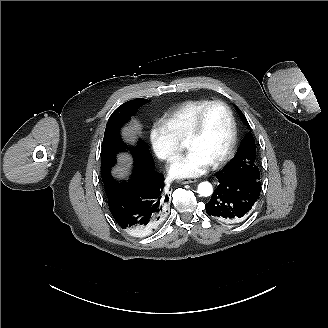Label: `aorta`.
<instances>
[{
  "mask_svg": "<svg viewBox=\"0 0 328 328\" xmlns=\"http://www.w3.org/2000/svg\"><path fill=\"white\" fill-rule=\"evenodd\" d=\"M198 193L204 197L210 196L213 193V187H212L211 183H209L207 181L201 182L198 185Z\"/></svg>",
  "mask_w": 328,
  "mask_h": 328,
  "instance_id": "aorta-1",
  "label": "aorta"
}]
</instances>
